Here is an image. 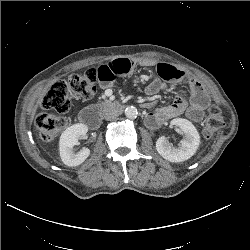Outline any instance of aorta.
<instances>
[{"mask_svg":"<svg viewBox=\"0 0 250 250\" xmlns=\"http://www.w3.org/2000/svg\"><path fill=\"white\" fill-rule=\"evenodd\" d=\"M138 115V111H137V108L134 107V106H128L126 109H125V116L129 119H134L136 118Z\"/></svg>","mask_w":250,"mask_h":250,"instance_id":"762f6f07","label":"aorta"}]
</instances>
